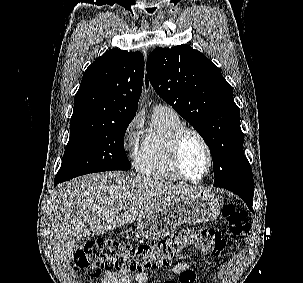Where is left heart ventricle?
<instances>
[{"label": "left heart ventricle", "mask_w": 303, "mask_h": 283, "mask_svg": "<svg viewBox=\"0 0 303 283\" xmlns=\"http://www.w3.org/2000/svg\"><path fill=\"white\" fill-rule=\"evenodd\" d=\"M181 157L188 176L198 179L204 175L207 169V155L201 142L195 136L188 135L185 138Z\"/></svg>", "instance_id": "1"}]
</instances>
